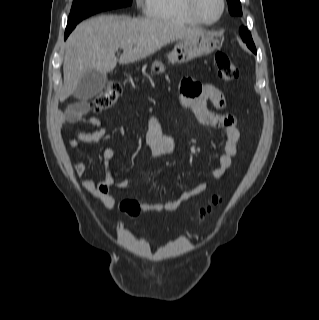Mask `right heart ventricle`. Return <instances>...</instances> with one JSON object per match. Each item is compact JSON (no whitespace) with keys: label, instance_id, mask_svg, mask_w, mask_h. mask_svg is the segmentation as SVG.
Listing matches in <instances>:
<instances>
[{"label":"right heart ventricle","instance_id":"obj_1","mask_svg":"<svg viewBox=\"0 0 319 320\" xmlns=\"http://www.w3.org/2000/svg\"><path fill=\"white\" fill-rule=\"evenodd\" d=\"M146 13L151 19L181 25H198L188 13L185 0H146Z\"/></svg>","mask_w":319,"mask_h":320}]
</instances>
